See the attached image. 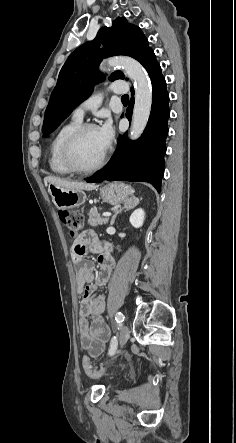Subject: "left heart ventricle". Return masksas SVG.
Returning <instances> with one entry per match:
<instances>
[{
	"label": "left heart ventricle",
	"instance_id": "b2bd125f",
	"mask_svg": "<svg viewBox=\"0 0 236 443\" xmlns=\"http://www.w3.org/2000/svg\"><path fill=\"white\" fill-rule=\"evenodd\" d=\"M105 150L99 129H90L77 141L73 155L79 166L88 168L98 162Z\"/></svg>",
	"mask_w": 236,
	"mask_h": 443
}]
</instances>
